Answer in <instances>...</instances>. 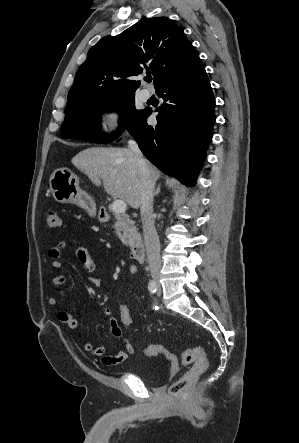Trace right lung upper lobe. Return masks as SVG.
<instances>
[{
    "mask_svg": "<svg viewBox=\"0 0 299 443\" xmlns=\"http://www.w3.org/2000/svg\"><path fill=\"white\" fill-rule=\"evenodd\" d=\"M203 64L183 30L167 17L147 18L121 34L101 39L80 66L66 108L75 104L134 94L144 71L154 87L196 72Z\"/></svg>",
    "mask_w": 299,
    "mask_h": 443,
    "instance_id": "right-lung-upper-lobe-1",
    "label": "right lung upper lobe"
}]
</instances>
